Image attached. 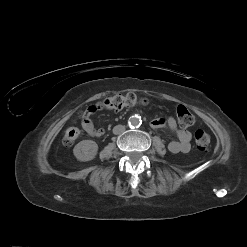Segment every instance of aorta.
<instances>
[{
  "label": "aorta",
  "instance_id": "1",
  "mask_svg": "<svg viewBox=\"0 0 247 247\" xmlns=\"http://www.w3.org/2000/svg\"><path fill=\"white\" fill-rule=\"evenodd\" d=\"M141 118L138 115H132L129 117L128 119V125L130 127H136L139 126L141 124Z\"/></svg>",
  "mask_w": 247,
  "mask_h": 247
}]
</instances>
